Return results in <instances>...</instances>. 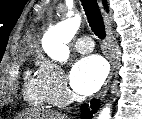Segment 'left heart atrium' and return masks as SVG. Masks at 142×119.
Wrapping results in <instances>:
<instances>
[{"mask_svg":"<svg viewBox=\"0 0 142 119\" xmlns=\"http://www.w3.org/2000/svg\"><path fill=\"white\" fill-rule=\"evenodd\" d=\"M106 74L105 62L98 56H89L74 65L70 74V84L75 92L90 95L101 87Z\"/></svg>","mask_w":142,"mask_h":119,"instance_id":"left-heart-atrium-1","label":"left heart atrium"}]
</instances>
